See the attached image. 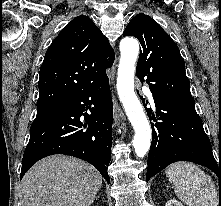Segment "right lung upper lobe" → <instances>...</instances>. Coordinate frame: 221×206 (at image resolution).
Here are the masks:
<instances>
[{"label": "right lung upper lobe", "instance_id": "1", "mask_svg": "<svg viewBox=\"0 0 221 206\" xmlns=\"http://www.w3.org/2000/svg\"><path fill=\"white\" fill-rule=\"evenodd\" d=\"M114 62L108 39L87 16L67 24L48 48L40 68L37 109L81 95L107 78Z\"/></svg>", "mask_w": 221, "mask_h": 206}]
</instances>
